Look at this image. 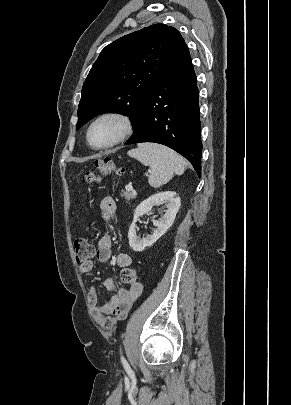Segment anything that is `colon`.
I'll return each mask as SVG.
<instances>
[{
    "label": "colon",
    "mask_w": 291,
    "mask_h": 405,
    "mask_svg": "<svg viewBox=\"0 0 291 405\" xmlns=\"http://www.w3.org/2000/svg\"><path fill=\"white\" fill-rule=\"evenodd\" d=\"M95 171L88 172L85 176L89 184L96 183L100 177L109 173L121 174L123 168L117 167L110 159L97 161ZM75 258L78 263L88 261L94 252L93 246L85 238H78L74 242ZM120 280L124 284H134L138 280V272L132 268H125L120 273Z\"/></svg>",
    "instance_id": "colon-1"
}]
</instances>
